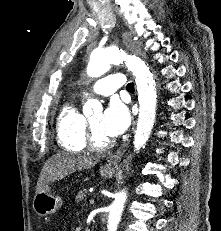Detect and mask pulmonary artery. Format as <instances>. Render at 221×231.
<instances>
[{
	"instance_id": "obj_1",
	"label": "pulmonary artery",
	"mask_w": 221,
	"mask_h": 231,
	"mask_svg": "<svg viewBox=\"0 0 221 231\" xmlns=\"http://www.w3.org/2000/svg\"><path fill=\"white\" fill-rule=\"evenodd\" d=\"M126 85L121 73H114L95 82L91 89L95 94L109 96Z\"/></svg>"
}]
</instances>
